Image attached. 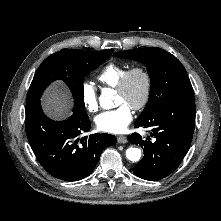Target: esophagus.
<instances>
[{"label": "esophagus", "mask_w": 221, "mask_h": 221, "mask_svg": "<svg viewBox=\"0 0 221 221\" xmlns=\"http://www.w3.org/2000/svg\"><path fill=\"white\" fill-rule=\"evenodd\" d=\"M117 141H118V143H120V144H124V143L127 142V138H126V136H124V135H119V136L117 137Z\"/></svg>", "instance_id": "1"}]
</instances>
